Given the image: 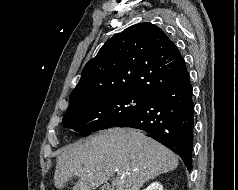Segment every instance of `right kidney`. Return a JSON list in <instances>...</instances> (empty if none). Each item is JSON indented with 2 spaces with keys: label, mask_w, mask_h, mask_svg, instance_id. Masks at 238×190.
Masks as SVG:
<instances>
[{
  "label": "right kidney",
  "mask_w": 238,
  "mask_h": 190,
  "mask_svg": "<svg viewBox=\"0 0 238 190\" xmlns=\"http://www.w3.org/2000/svg\"><path fill=\"white\" fill-rule=\"evenodd\" d=\"M144 190H163V186L160 183H158V182H154V183L150 184Z\"/></svg>",
  "instance_id": "1"
}]
</instances>
